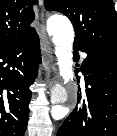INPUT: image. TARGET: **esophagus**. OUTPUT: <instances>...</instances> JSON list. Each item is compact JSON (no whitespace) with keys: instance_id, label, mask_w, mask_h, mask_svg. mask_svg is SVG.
Instances as JSON below:
<instances>
[{"instance_id":"34e87169","label":"esophagus","mask_w":117,"mask_h":136,"mask_svg":"<svg viewBox=\"0 0 117 136\" xmlns=\"http://www.w3.org/2000/svg\"><path fill=\"white\" fill-rule=\"evenodd\" d=\"M43 13L41 14V24H40V38H41V49L44 54L45 66H49L53 70H55V65L53 63V55L50 43L46 36L45 27L43 25Z\"/></svg>"}]
</instances>
